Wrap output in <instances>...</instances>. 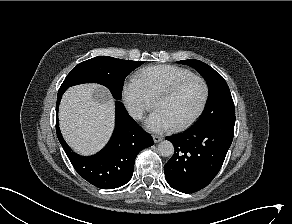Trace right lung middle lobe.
I'll return each instance as SVG.
<instances>
[{
    "label": "right lung middle lobe",
    "mask_w": 292,
    "mask_h": 224,
    "mask_svg": "<svg viewBox=\"0 0 292 224\" xmlns=\"http://www.w3.org/2000/svg\"><path fill=\"white\" fill-rule=\"evenodd\" d=\"M142 63L143 61L97 56L75 66L65 78L60 89H67L82 83H99L107 87L116 100H120L125 78Z\"/></svg>",
    "instance_id": "right-lung-middle-lobe-1"
}]
</instances>
